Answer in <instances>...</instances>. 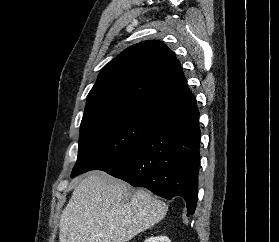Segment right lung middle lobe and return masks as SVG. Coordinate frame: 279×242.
<instances>
[{
  "label": "right lung middle lobe",
  "instance_id": "dd1d6c3e",
  "mask_svg": "<svg viewBox=\"0 0 279 242\" xmlns=\"http://www.w3.org/2000/svg\"><path fill=\"white\" fill-rule=\"evenodd\" d=\"M159 114L117 110L83 116L71 177L98 169L135 147L157 126Z\"/></svg>",
  "mask_w": 279,
  "mask_h": 242
}]
</instances>
